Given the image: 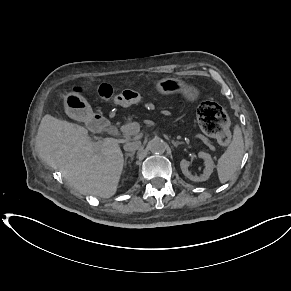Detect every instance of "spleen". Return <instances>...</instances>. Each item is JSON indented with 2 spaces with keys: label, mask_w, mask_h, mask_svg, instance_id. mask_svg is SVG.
<instances>
[{
  "label": "spleen",
  "mask_w": 291,
  "mask_h": 291,
  "mask_svg": "<svg viewBox=\"0 0 291 291\" xmlns=\"http://www.w3.org/2000/svg\"><path fill=\"white\" fill-rule=\"evenodd\" d=\"M244 154L242 131L238 125L234 127L233 139L217 163L218 177L221 183H226L235 174Z\"/></svg>",
  "instance_id": "1"
}]
</instances>
